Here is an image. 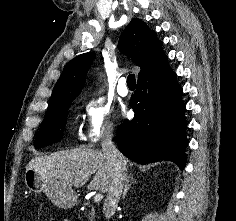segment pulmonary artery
I'll return each instance as SVG.
<instances>
[{"label":"pulmonary artery","mask_w":236,"mask_h":221,"mask_svg":"<svg viewBox=\"0 0 236 221\" xmlns=\"http://www.w3.org/2000/svg\"><path fill=\"white\" fill-rule=\"evenodd\" d=\"M126 81L127 78L126 77H122L119 80L118 86H117V92L120 96H127L129 94V89L126 87Z\"/></svg>","instance_id":"obj_1"}]
</instances>
